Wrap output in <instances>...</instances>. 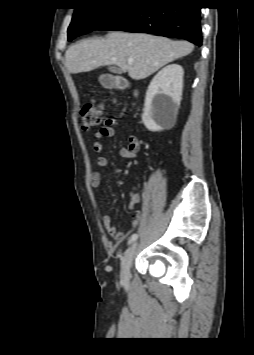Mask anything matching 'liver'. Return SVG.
I'll return each mask as SVG.
<instances>
[{
    "label": "liver",
    "mask_w": 254,
    "mask_h": 355,
    "mask_svg": "<svg viewBox=\"0 0 254 355\" xmlns=\"http://www.w3.org/2000/svg\"><path fill=\"white\" fill-rule=\"evenodd\" d=\"M194 45L143 33L111 32L105 38H88L65 53L69 73L88 72L104 65H117L132 79H144L175 59L190 54ZM128 58L133 63H128Z\"/></svg>",
    "instance_id": "6515ba94"
}]
</instances>
